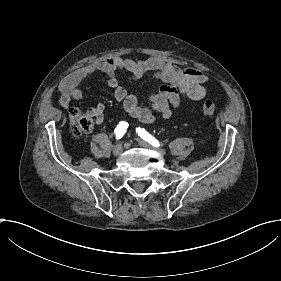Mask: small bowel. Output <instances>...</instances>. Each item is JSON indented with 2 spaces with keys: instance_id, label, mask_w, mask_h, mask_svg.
<instances>
[{
  "instance_id": "small-bowel-1",
  "label": "small bowel",
  "mask_w": 281,
  "mask_h": 281,
  "mask_svg": "<svg viewBox=\"0 0 281 281\" xmlns=\"http://www.w3.org/2000/svg\"><path fill=\"white\" fill-rule=\"evenodd\" d=\"M121 72L127 73L134 81L148 75L165 83L158 92L148 95V102L156 114L147 107L139 106L136 97L127 94L125 89L119 86L116 74ZM100 74L107 76L106 84L113 89L114 99L122 103L124 109L134 118L145 123L168 120L173 114V109L179 106L183 98L200 101L207 96L203 85L206 77L199 69H181L158 58L134 61L129 58L114 57L99 60L69 75L57 87L61 105L68 107L72 102L79 101L82 98V85ZM88 113L96 119L98 127L103 125L105 114L103 103H97Z\"/></svg>"
}]
</instances>
